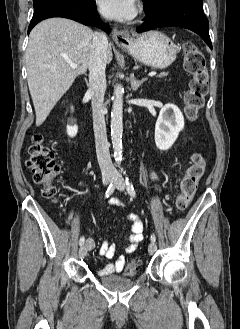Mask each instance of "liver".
Listing matches in <instances>:
<instances>
[{
	"label": "liver",
	"mask_w": 240,
	"mask_h": 329,
	"mask_svg": "<svg viewBox=\"0 0 240 329\" xmlns=\"http://www.w3.org/2000/svg\"><path fill=\"white\" fill-rule=\"evenodd\" d=\"M92 37L90 28L63 18L42 21L31 31L25 59L37 127L43 124L75 78L86 72ZM106 55V63H110V46ZM70 63L78 67L73 69Z\"/></svg>",
	"instance_id": "6515ba94"
}]
</instances>
